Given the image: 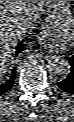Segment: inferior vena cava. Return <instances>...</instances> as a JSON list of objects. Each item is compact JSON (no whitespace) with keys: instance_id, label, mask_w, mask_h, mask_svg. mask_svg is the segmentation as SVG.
<instances>
[{"instance_id":"602c4592","label":"inferior vena cava","mask_w":74,"mask_h":122,"mask_svg":"<svg viewBox=\"0 0 74 122\" xmlns=\"http://www.w3.org/2000/svg\"><path fill=\"white\" fill-rule=\"evenodd\" d=\"M30 26V22L26 23L24 26H21L20 29H21V32L25 31L27 28L26 27H29Z\"/></svg>"}]
</instances>
